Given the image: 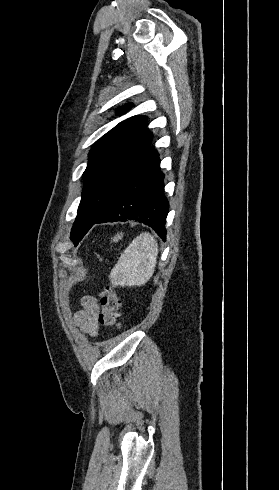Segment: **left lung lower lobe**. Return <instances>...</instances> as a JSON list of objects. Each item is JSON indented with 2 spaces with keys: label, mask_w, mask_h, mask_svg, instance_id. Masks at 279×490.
<instances>
[{
  "label": "left lung lower lobe",
  "mask_w": 279,
  "mask_h": 490,
  "mask_svg": "<svg viewBox=\"0 0 279 490\" xmlns=\"http://www.w3.org/2000/svg\"><path fill=\"white\" fill-rule=\"evenodd\" d=\"M158 152L150 145L121 186L111 208L95 223L134 220L151 227L166 240L169 204Z\"/></svg>",
  "instance_id": "obj_1"
}]
</instances>
